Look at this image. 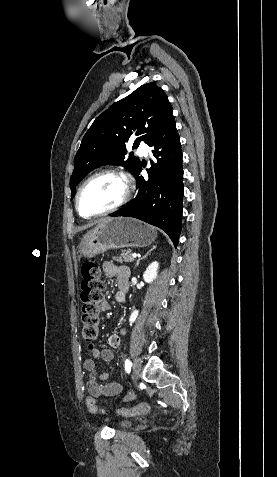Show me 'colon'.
<instances>
[{"instance_id": "1", "label": "colon", "mask_w": 277, "mask_h": 477, "mask_svg": "<svg viewBox=\"0 0 277 477\" xmlns=\"http://www.w3.org/2000/svg\"><path fill=\"white\" fill-rule=\"evenodd\" d=\"M82 281L80 290V325L82 340L93 349L99 335V315L102 311V302L104 301L103 291L105 288L101 277V269L94 260L85 262L81 269ZM89 411L98 414L101 409L97 406L94 397L89 396L86 399ZM149 410L146 403L130 408H121L118 414L122 416H134Z\"/></svg>"}]
</instances>
